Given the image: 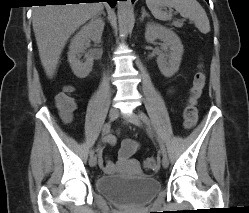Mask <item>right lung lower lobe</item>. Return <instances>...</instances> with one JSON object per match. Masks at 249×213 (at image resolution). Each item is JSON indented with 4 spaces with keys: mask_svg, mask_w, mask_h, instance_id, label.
Listing matches in <instances>:
<instances>
[{
    "mask_svg": "<svg viewBox=\"0 0 249 213\" xmlns=\"http://www.w3.org/2000/svg\"><path fill=\"white\" fill-rule=\"evenodd\" d=\"M44 3H54V4H66V3H78L84 0H44ZM87 1H105L108 2L111 7H114L117 0H87ZM93 3V2H92Z\"/></svg>",
    "mask_w": 249,
    "mask_h": 213,
    "instance_id": "right-lung-lower-lobe-1",
    "label": "right lung lower lobe"
}]
</instances>
